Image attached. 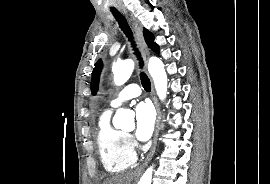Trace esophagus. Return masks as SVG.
<instances>
[{
  "instance_id": "34e87169",
  "label": "esophagus",
  "mask_w": 270,
  "mask_h": 184,
  "mask_svg": "<svg viewBox=\"0 0 270 184\" xmlns=\"http://www.w3.org/2000/svg\"><path fill=\"white\" fill-rule=\"evenodd\" d=\"M122 12L125 15V17L128 19V21L130 22V24L132 25V27L134 29V32L137 36V39L139 41V44H140V47H141V50H142V53H143V56L145 59V63L147 64L148 59H149V50H148L147 45H146L144 38H143L142 28H141L139 22L132 15H130L127 12V10L123 9ZM151 92H152V100H153V103H154V106H155L156 112H157L155 130H154V135H153V144H152L150 152H149L147 158L145 159L144 163L136 170L137 172H141L146 167L148 162L151 160V158L155 152L156 146H157V138H158L159 130H160L161 112H160L158 101H157V98L155 95L153 83H152V91Z\"/></svg>"
}]
</instances>
